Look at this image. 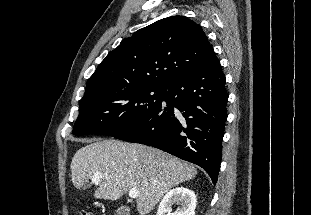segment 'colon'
I'll use <instances>...</instances> for the list:
<instances>
[{
    "instance_id": "5ec220e1",
    "label": "colon",
    "mask_w": 311,
    "mask_h": 215,
    "mask_svg": "<svg viewBox=\"0 0 311 215\" xmlns=\"http://www.w3.org/2000/svg\"><path fill=\"white\" fill-rule=\"evenodd\" d=\"M83 215H90V214H89V213H87V212H84V213H83Z\"/></svg>"
}]
</instances>
